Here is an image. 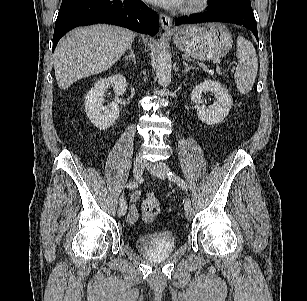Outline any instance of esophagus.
Here are the masks:
<instances>
[{"mask_svg":"<svg viewBox=\"0 0 307 301\" xmlns=\"http://www.w3.org/2000/svg\"><path fill=\"white\" fill-rule=\"evenodd\" d=\"M160 22H161V26L165 31H171L172 30V19L161 13L160 14Z\"/></svg>","mask_w":307,"mask_h":301,"instance_id":"obj_1","label":"esophagus"}]
</instances>
